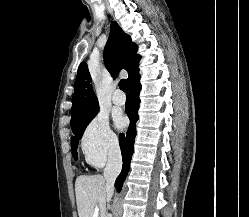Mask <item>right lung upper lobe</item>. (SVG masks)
<instances>
[{"instance_id":"cb5924a9","label":"right lung upper lobe","mask_w":249,"mask_h":217,"mask_svg":"<svg viewBox=\"0 0 249 217\" xmlns=\"http://www.w3.org/2000/svg\"><path fill=\"white\" fill-rule=\"evenodd\" d=\"M110 36L104 49V62L111 76H116L120 70L128 72V81L139 71L138 63L141 59L137 55V45L132 43L131 37L123 32L117 22L110 27ZM72 98L71 123L99 107L93 92L91 76L86 62L79 65Z\"/></svg>"}]
</instances>
